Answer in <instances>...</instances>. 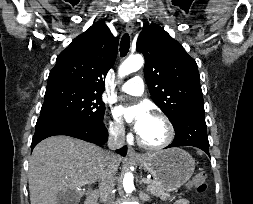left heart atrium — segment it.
<instances>
[{"instance_id": "left-heart-atrium-1", "label": "left heart atrium", "mask_w": 253, "mask_h": 204, "mask_svg": "<svg viewBox=\"0 0 253 204\" xmlns=\"http://www.w3.org/2000/svg\"><path fill=\"white\" fill-rule=\"evenodd\" d=\"M116 114L123 117L127 114L133 115L134 119L131 123L132 129L139 134L151 117L148 108L145 105L119 106L116 108Z\"/></svg>"}]
</instances>
